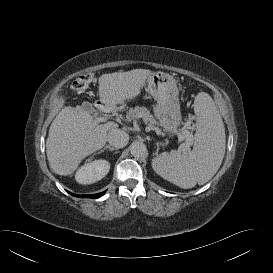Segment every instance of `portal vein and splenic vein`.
Here are the masks:
<instances>
[{"label":"portal vein and splenic vein","instance_id":"1","mask_svg":"<svg viewBox=\"0 0 273 273\" xmlns=\"http://www.w3.org/2000/svg\"><path fill=\"white\" fill-rule=\"evenodd\" d=\"M95 121H97V122H105L106 121V122L111 123V124L113 123V122L107 120L104 117H98V118L95 119ZM189 145H190V143L186 142V143H183L181 146H182V148L184 150H188L189 149Z\"/></svg>","mask_w":273,"mask_h":273}]
</instances>
